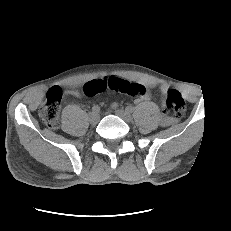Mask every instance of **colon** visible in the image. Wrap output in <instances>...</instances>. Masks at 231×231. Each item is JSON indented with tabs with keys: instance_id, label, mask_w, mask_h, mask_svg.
<instances>
[{
	"instance_id": "obj_1",
	"label": "colon",
	"mask_w": 231,
	"mask_h": 231,
	"mask_svg": "<svg viewBox=\"0 0 231 231\" xmlns=\"http://www.w3.org/2000/svg\"><path fill=\"white\" fill-rule=\"evenodd\" d=\"M107 90L134 97L144 93V88L138 83L129 82L121 78L99 79L84 86V92L89 96H94ZM61 98V90L53 88L48 91L40 107V119L49 128L55 129L59 125ZM164 108L165 111L173 113L174 116L181 117L185 112L186 102L176 90L170 89L165 95Z\"/></svg>"
}]
</instances>
